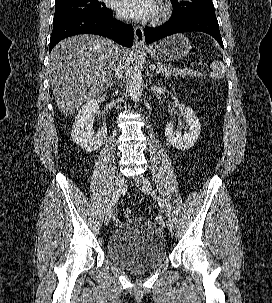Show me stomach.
I'll return each instance as SVG.
<instances>
[{
  "label": "stomach",
  "instance_id": "1",
  "mask_svg": "<svg viewBox=\"0 0 272 303\" xmlns=\"http://www.w3.org/2000/svg\"><path fill=\"white\" fill-rule=\"evenodd\" d=\"M190 49V41L184 35L176 34L163 39L149 51L152 58L170 62L186 57Z\"/></svg>",
  "mask_w": 272,
  "mask_h": 303
}]
</instances>
